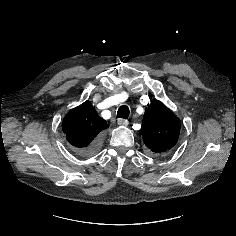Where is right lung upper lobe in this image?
Listing matches in <instances>:
<instances>
[{
  "mask_svg": "<svg viewBox=\"0 0 236 236\" xmlns=\"http://www.w3.org/2000/svg\"><path fill=\"white\" fill-rule=\"evenodd\" d=\"M106 128L107 122L97 114L90 101L71 110L62 122L67 141L78 149L89 147Z\"/></svg>",
  "mask_w": 236,
  "mask_h": 236,
  "instance_id": "cb5924a9",
  "label": "right lung upper lobe"
}]
</instances>
